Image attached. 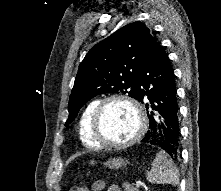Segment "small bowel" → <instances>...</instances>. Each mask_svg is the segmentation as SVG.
<instances>
[{
    "label": "small bowel",
    "instance_id": "obj_1",
    "mask_svg": "<svg viewBox=\"0 0 221 191\" xmlns=\"http://www.w3.org/2000/svg\"><path fill=\"white\" fill-rule=\"evenodd\" d=\"M107 188V191H121V189L116 185H109L103 180H97L92 185L93 191H104Z\"/></svg>",
    "mask_w": 221,
    "mask_h": 191
}]
</instances>
